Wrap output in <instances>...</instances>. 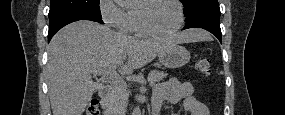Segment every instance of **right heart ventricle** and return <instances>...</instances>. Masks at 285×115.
<instances>
[{
    "label": "right heart ventricle",
    "mask_w": 285,
    "mask_h": 115,
    "mask_svg": "<svg viewBox=\"0 0 285 115\" xmlns=\"http://www.w3.org/2000/svg\"><path fill=\"white\" fill-rule=\"evenodd\" d=\"M128 31L138 36L147 35L140 26L136 10H131L128 12Z\"/></svg>",
    "instance_id": "e07e8e85"
}]
</instances>
